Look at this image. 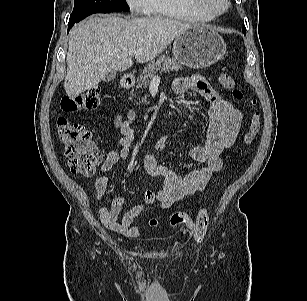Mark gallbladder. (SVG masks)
<instances>
[{
  "instance_id": "obj_1",
  "label": "gallbladder",
  "mask_w": 307,
  "mask_h": 301,
  "mask_svg": "<svg viewBox=\"0 0 307 301\" xmlns=\"http://www.w3.org/2000/svg\"><path fill=\"white\" fill-rule=\"evenodd\" d=\"M116 76V72L115 71H110L109 73H107L104 77H103V81H111L115 78Z\"/></svg>"
}]
</instances>
